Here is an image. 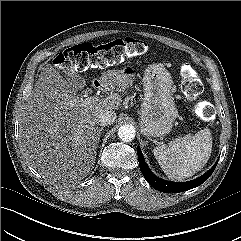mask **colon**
Returning <instances> with one entry per match:
<instances>
[{"mask_svg": "<svg viewBox=\"0 0 241 241\" xmlns=\"http://www.w3.org/2000/svg\"><path fill=\"white\" fill-rule=\"evenodd\" d=\"M147 51L143 41L126 38L116 39L106 44L83 43L60 52L55 58L57 67L65 72L84 71L88 68L113 65L124 57L138 56ZM182 91L186 98L195 101L203 90V85L189 63L181 68ZM195 112L204 119L213 115L212 108L201 101L194 105Z\"/></svg>", "mask_w": 241, "mask_h": 241, "instance_id": "colon-1", "label": "colon"}]
</instances>
